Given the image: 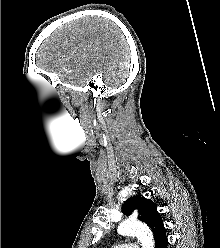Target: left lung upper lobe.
I'll return each mask as SVG.
<instances>
[{"label":"left lung upper lobe","mask_w":220,"mask_h":248,"mask_svg":"<svg viewBox=\"0 0 220 248\" xmlns=\"http://www.w3.org/2000/svg\"><path fill=\"white\" fill-rule=\"evenodd\" d=\"M134 209H137L139 212L138 219L145 222L152 229L154 238L156 239L160 231L164 228L156 204L150 199L133 196L124 202L122 212L125 215H129Z\"/></svg>","instance_id":"5c2ea615"}]
</instances>
